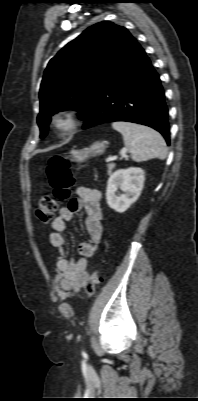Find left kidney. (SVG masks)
Listing matches in <instances>:
<instances>
[{"label": "left kidney", "instance_id": "obj_1", "mask_svg": "<svg viewBox=\"0 0 198 401\" xmlns=\"http://www.w3.org/2000/svg\"><path fill=\"white\" fill-rule=\"evenodd\" d=\"M145 176L141 168L130 167L115 171L107 182L106 200L110 208L116 212H125L139 198ZM118 189L123 194H117Z\"/></svg>", "mask_w": 198, "mask_h": 401}]
</instances>
